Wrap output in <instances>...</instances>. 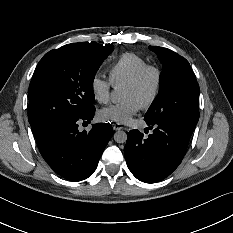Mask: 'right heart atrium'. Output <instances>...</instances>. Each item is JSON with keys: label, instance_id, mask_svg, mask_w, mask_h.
I'll return each mask as SVG.
<instances>
[{"label": "right heart atrium", "instance_id": "obj_1", "mask_svg": "<svg viewBox=\"0 0 233 233\" xmlns=\"http://www.w3.org/2000/svg\"><path fill=\"white\" fill-rule=\"evenodd\" d=\"M94 98L100 103H107L110 99L112 84L109 80L94 75L90 82Z\"/></svg>", "mask_w": 233, "mask_h": 233}]
</instances>
